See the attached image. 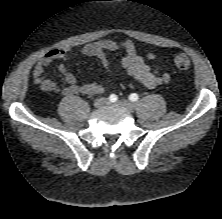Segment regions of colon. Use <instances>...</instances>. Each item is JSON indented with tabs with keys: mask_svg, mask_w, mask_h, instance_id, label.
Here are the masks:
<instances>
[{
	"mask_svg": "<svg viewBox=\"0 0 222 219\" xmlns=\"http://www.w3.org/2000/svg\"><path fill=\"white\" fill-rule=\"evenodd\" d=\"M170 57H171L174 65L179 70H188L191 68V61L187 55L180 53V52L171 51Z\"/></svg>",
	"mask_w": 222,
	"mask_h": 219,
	"instance_id": "obj_1",
	"label": "colon"
}]
</instances>
